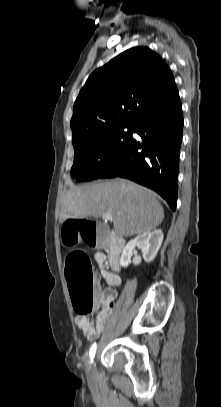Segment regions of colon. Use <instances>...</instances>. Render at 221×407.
I'll return each instance as SVG.
<instances>
[{
  "mask_svg": "<svg viewBox=\"0 0 221 407\" xmlns=\"http://www.w3.org/2000/svg\"><path fill=\"white\" fill-rule=\"evenodd\" d=\"M59 237L68 245L73 244L74 239H85V246L105 249L110 227L107 222L93 220L92 216H68ZM65 276L76 313L81 316L91 314L97 305V293L91 263L84 252L73 251L68 255Z\"/></svg>",
  "mask_w": 221,
  "mask_h": 407,
  "instance_id": "1",
  "label": "colon"
}]
</instances>
